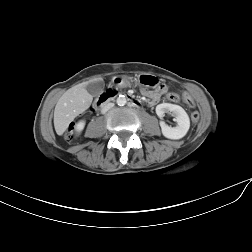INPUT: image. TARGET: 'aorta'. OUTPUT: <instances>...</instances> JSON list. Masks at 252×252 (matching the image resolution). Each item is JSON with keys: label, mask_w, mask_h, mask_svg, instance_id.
Returning a JSON list of instances; mask_svg holds the SVG:
<instances>
[{"label": "aorta", "mask_w": 252, "mask_h": 252, "mask_svg": "<svg viewBox=\"0 0 252 252\" xmlns=\"http://www.w3.org/2000/svg\"><path fill=\"white\" fill-rule=\"evenodd\" d=\"M116 102H117V104L119 106H124L127 103V100H126V97L124 95H119Z\"/></svg>", "instance_id": "762f6f07"}]
</instances>
